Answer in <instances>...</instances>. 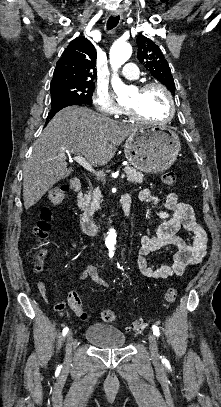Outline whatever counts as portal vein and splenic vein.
<instances>
[{"label":"portal vein and splenic vein","instance_id":"portal-vein-and-splenic-vein-1","mask_svg":"<svg viewBox=\"0 0 221 407\" xmlns=\"http://www.w3.org/2000/svg\"><path fill=\"white\" fill-rule=\"evenodd\" d=\"M73 160L80 164L87 171L95 174V170L93 169L92 165L84 157L77 155L73 157ZM121 178H125V174H121Z\"/></svg>","mask_w":221,"mask_h":407}]
</instances>
